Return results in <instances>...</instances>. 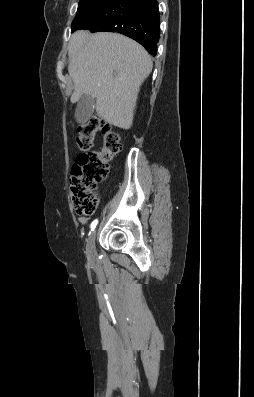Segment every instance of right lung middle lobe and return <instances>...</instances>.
Masks as SVG:
<instances>
[{
    "instance_id": "1",
    "label": "right lung middle lobe",
    "mask_w": 254,
    "mask_h": 397,
    "mask_svg": "<svg viewBox=\"0 0 254 397\" xmlns=\"http://www.w3.org/2000/svg\"><path fill=\"white\" fill-rule=\"evenodd\" d=\"M108 0H80L76 17L72 22V32L94 16Z\"/></svg>"
}]
</instances>
